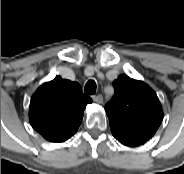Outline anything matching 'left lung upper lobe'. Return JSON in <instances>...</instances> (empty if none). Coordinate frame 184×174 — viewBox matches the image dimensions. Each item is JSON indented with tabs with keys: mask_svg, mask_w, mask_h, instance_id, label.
Listing matches in <instances>:
<instances>
[{
	"mask_svg": "<svg viewBox=\"0 0 184 174\" xmlns=\"http://www.w3.org/2000/svg\"><path fill=\"white\" fill-rule=\"evenodd\" d=\"M106 104L111 131L147 141L157 131L163 111L156 93L144 82L120 75Z\"/></svg>",
	"mask_w": 184,
	"mask_h": 174,
	"instance_id": "left-lung-upper-lobe-1",
	"label": "left lung upper lobe"
}]
</instances>
